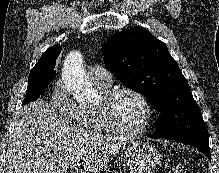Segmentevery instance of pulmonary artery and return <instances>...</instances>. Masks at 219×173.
I'll list each match as a JSON object with an SVG mask.
<instances>
[{
	"label": "pulmonary artery",
	"mask_w": 219,
	"mask_h": 173,
	"mask_svg": "<svg viewBox=\"0 0 219 173\" xmlns=\"http://www.w3.org/2000/svg\"><path fill=\"white\" fill-rule=\"evenodd\" d=\"M89 76L95 84L110 86L112 77L110 72L102 65H94L89 69Z\"/></svg>",
	"instance_id": "pulmonary-artery-1"
}]
</instances>
